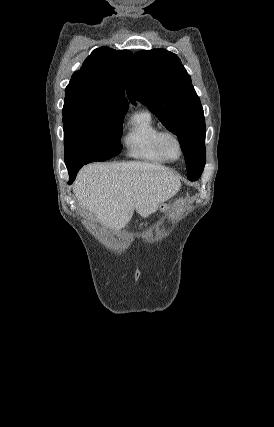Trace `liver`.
<instances>
[{"mask_svg":"<svg viewBox=\"0 0 274 427\" xmlns=\"http://www.w3.org/2000/svg\"><path fill=\"white\" fill-rule=\"evenodd\" d=\"M72 188L82 208L103 225L120 231L134 210L142 217L154 214L162 202L177 194L181 182L160 164L114 162L84 166Z\"/></svg>","mask_w":274,"mask_h":427,"instance_id":"obj_1","label":"liver"}]
</instances>
